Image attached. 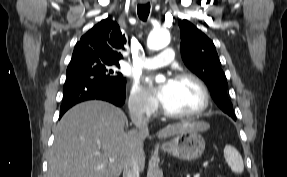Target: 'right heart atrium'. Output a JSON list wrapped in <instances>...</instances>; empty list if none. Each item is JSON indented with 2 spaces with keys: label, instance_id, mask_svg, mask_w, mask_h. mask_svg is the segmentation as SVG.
Segmentation results:
<instances>
[{
  "label": "right heart atrium",
  "instance_id": "right-heart-atrium-1",
  "mask_svg": "<svg viewBox=\"0 0 287 177\" xmlns=\"http://www.w3.org/2000/svg\"><path fill=\"white\" fill-rule=\"evenodd\" d=\"M128 102L133 115L151 116L157 109L154 98L138 81H134L130 88Z\"/></svg>",
  "mask_w": 287,
  "mask_h": 177
}]
</instances>
